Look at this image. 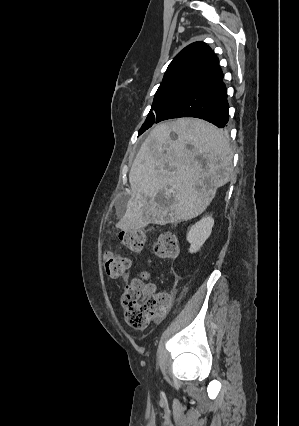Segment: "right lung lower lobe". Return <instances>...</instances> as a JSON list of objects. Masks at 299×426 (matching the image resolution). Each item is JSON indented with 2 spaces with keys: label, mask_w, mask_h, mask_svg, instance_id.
Returning a JSON list of instances; mask_svg holds the SVG:
<instances>
[{
  "label": "right lung lower lobe",
  "mask_w": 299,
  "mask_h": 426,
  "mask_svg": "<svg viewBox=\"0 0 299 426\" xmlns=\"http://www.w3.org/2000/svg\"><path fill=\"white\" fill-rule=\"evenodd\" d=\"M222 78L197 86L172 104L158 122L171 118L196 117L219 128L224 127L228 122L229 105L227 89Z\"/></svg>",
  "instance_id": "obj_1"
}]
</instances>
